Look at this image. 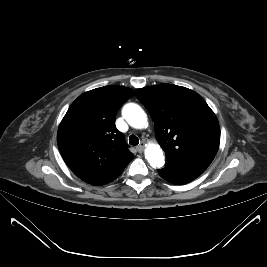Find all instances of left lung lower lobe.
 <instances>
[{"label": "left lung lower lobe", "instance_id": "left-lung-lower-lobe-1", "mask_svg": "<svg viewBox=\"0 0 267 267\" xmlns=\"http://www.w3.org/2000/svg\"><path fill=\"white\" fill-rule=\"evenodd\" d=\"M158 172L162 178L177 185H183L191 182L202 174L193 169L173 164L171 162H166L165 167L158 169Z\"/></svg>", "mask_w": 267, "mask_h": 267}]
</instances>
